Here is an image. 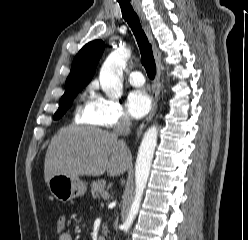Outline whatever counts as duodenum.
Returning a JSON list of instances; mask_svg holds the SVG:
<instances>
[{"mask_svg":"<svg viewBox=\"0 0 248 240\" xmlns=\"http://www.w3.org/2000/svg\"><path fill=\"white\" fill-rule=\"evenodd\" d=\"M98 240H105V239H104V238H102V237H99V238H98Z\"/></svg>","mask_w":248,"mask_h":240,"instance_id":"obj_1","label":"duodenum"}]
</instances>
